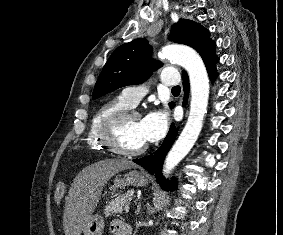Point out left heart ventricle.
Listing matches in <instances>:
<instances>
[{"label": "left heart ventricle", "instance_id": "obj_1", "mask_svg": "<svg viewBox=\"0 0 283 235\" xmlns=\"http://www.w3.org/2000/svg\"><path fill=\"white\" fill-rule=\"evenodd\" d=\"M118 144L128 150H134L145 144L141 133L140 118L132 117L126 120L117 132Z\"/></svg>", "mask_w": 283, "mask_h": 235}]
</instances>
